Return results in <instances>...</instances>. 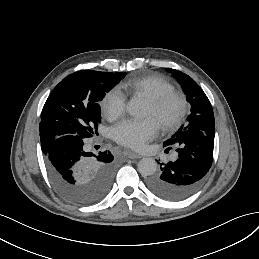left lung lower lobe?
Instances as JSON below:
<instances>
[{"label":"left lung lower lobe","instance_id":"0a47b994","mask_svg":"<svg viewBox=\"0 0 259 259\" xmlns=\"http://www.w3.org/2000/svg\"><path fill=\"white\" fill-rule=\"evenodd\" d=\"M210 131L186 130L176 146L178 159L162 163L161 173L147 181L156 196L168 201L188 198L200 187L213 161L214 135Z\"/></svg>","mask_w":259,"mask_h":259}]
</instances>
